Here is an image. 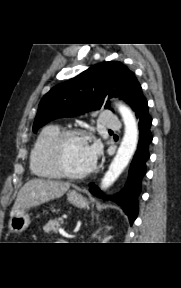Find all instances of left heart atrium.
<instances>
[{"label":"left heart atrium","mask_w":181,"mask_h":288,"mask_svg":"<svg viewBox=\"0 0 181 288\" xmlns=\"http://www.w3.org/2000/svg\"><path fill=\"white\" fill-rule=\"evenodd\" d=\"M88 153H89L91 160L94 161L98 154V146L97 145L88 146Z\"/></svg>","instance_id":"39dd6f15"}]
</instances>
